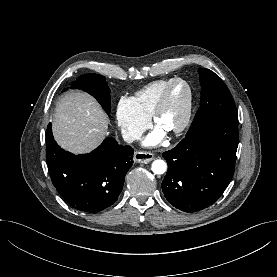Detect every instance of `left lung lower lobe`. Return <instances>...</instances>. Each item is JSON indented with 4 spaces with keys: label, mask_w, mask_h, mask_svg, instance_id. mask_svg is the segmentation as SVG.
I'll use <instances>...</instances> for the list:
<instances>
[{
    "label": "left lung lower lobe",
    "mask_w": 277,
    "mask_h": 277,
    "mask_svg": "<svg viewBox=\"0 0 277 277\" xmlns=\"http://www.w3.org/2000/svg\"><path fill=\"white\" fill-rule=\"evenodd\" d=\"M238 127L212 124L163 153L168 171L163 193L177 209L193 213L213 204L233 177Z\"/></svg>",
    "instance_id": "left-lung-lower-lobe-1"
}]
</instances>
